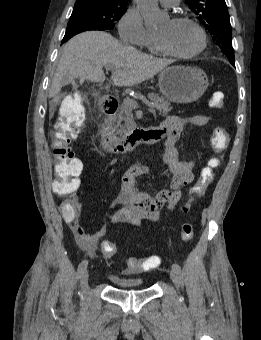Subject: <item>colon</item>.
I'll list each match as a JSON object with an SVG mask.
<instances>
[{
  "label": "colon",
  "instance_id": "5ec220e1",
  "mask_svg": "<svg viewBox=\"0 0 261 340\" xmlns=\"http://www.w3.org/2000/svg\"><path fill=\"white\" fill-rule=\"evenodd\" d=\"M212 108L221 109L225 105L224 94L215 92L209 102ZM86 110L83 102L74 97L66 99L62 106L61 116L55 123L52 136V153L54 158L52 190L58 197L67 198L61 204L62 215L72 216L76 212V203L72 198L80 185L79 175L82 171V163L77 159L70 148L71 142L78 136L85 122ZM229 141L227 131L222 127L214 129L211 135V146L215 152L225 150ZM219 165L217 159H211L207 167L203 168L200 178L191 191L192 197L200 196L215 179V168ZM190 204H184L183 212L188 213ZM193 226L190 222H184L181 226V238L189 241L193 238ZM101 251L104 257L112 258L117 253L114 243L104 241L101 243ZM161 258L152 255L144 258L130 257L126 261V272L148 271L157 268Z\"/></svg>",
  "mask_w": 261,
  "mask_h": 340
}]
</instances>
